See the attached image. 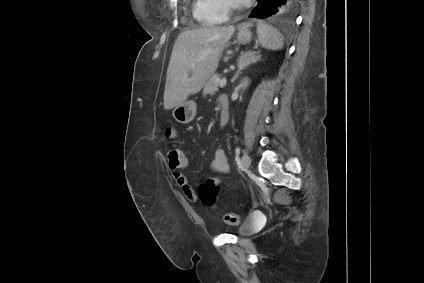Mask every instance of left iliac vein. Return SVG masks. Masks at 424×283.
<instances>
[{"instance_id": "1", "label": "left iliac vein", "mask_w": 424, "mask_h": 283, "mask_svg": "<svg viewBox=\"0 0 424 283\" xmlns=\"http://www.w3.org/2000/svg\"><path fill=\"white\" fill-rule=\"evenodd\" d=\"M241 163L244 169H248L251 165V158L247 153H244L241 159Z\"/></svg>"}]
</instances>
